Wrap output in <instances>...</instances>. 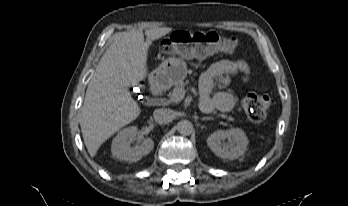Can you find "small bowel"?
Listing matches in <instances>:
<instances>
[{"label":"small bowel","instance_id":"1","mask_svg":"<svg viewBox=\"0 0 348 206\" xmlns=\"http://www.w3.org/2000/svg\"><path fill=\"white\" fill-rule=\"evenodd\" d=\"M250 76V68L242 59H222L211 64L202 74L199 83L200 108L209 113L215 108L229 112L235 105V96L226 90L211 95L215 86L227 87L234 77L246 82Z\"/></svg>","mask_w":348,"mask_h":206}]
</instances>
